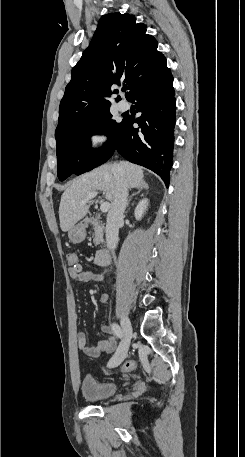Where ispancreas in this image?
Returning a JSON list of instances; mask_svg holds the SVG:
<instances>
[{
	"label": "pancreas",
	"instance_id": "cf45deb5",
	"mask_svg": "<svg viewBox=\"0 0 245 457\" xmlns=\"http://www.w3.org/2000/svg\"><path fill=\"white\" fill-rule=\"evenodd\" d=\"M93 226H94V239H93V243H95L96 247H98V245H102V243H104V239H103V235H104V229H103V226H101L99 220H96V218H93V220H91Z\"/></svg>",
	"mask_w": 245,
	"mask_h": 457
}]
</instances>
